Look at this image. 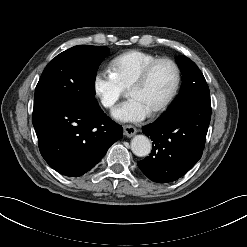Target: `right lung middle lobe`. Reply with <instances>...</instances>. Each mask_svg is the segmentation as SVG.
Returning <instances> with one entry per match:
<instances>
[{
	"label": "right lung middle lobe",
	"instance_id": "obj_1",
	"mask_svg": "<svg viewBox=\"0 0 247 247\" xmlns=\"http://www.w3.org/2000/svg\"><path fill=\"white\" fill-rule=\"evenodd\" d=\"M108 54L105 46L79 45L57 55L44 69L35 89L34 108L59 98L96 109L95 78Z\"/></svg>",
	"mask_w": 247,
	"mask_h": 247
}]
</instances>
